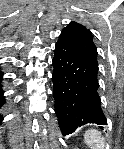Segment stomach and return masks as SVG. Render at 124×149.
I'll return each mask as SVG.
<instances>
[{"label":"stomach","mask_w":124,"mask_h":149,"mask_svg":"<svg viewBox=\"0 0 124 149\" xmlns=\"http://www.w3.org/2000/svg\"><path fill=\"white\" fill-rule=\"evenodd\" d=\"M96 134H97V133H96ZM88 138H89V139H92V137H91V136H89V137H88V136H87V137L85 136V139H88Z\"/></svg>","instance_id":"obj_1"}]
</instances>
